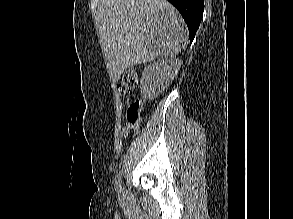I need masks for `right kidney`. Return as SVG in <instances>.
<instances>
[{
  "label": "right kidney",
  "instance_id": "obj_1",
  "mask_svg": "<svg viewBox=\"0 0 293 219\" xmlns=\"http://www.w3.org/2000/svg\"><path fill=\"white\" fill-rule=\"evenodd\" d=\"M182 61L170 58L150 63L142 74L140 87L141 95L146 100L158 97L174 80Z\"/></svg>",
  "mask_w": 293,
  "mask_h": 219
}]
</instances>
